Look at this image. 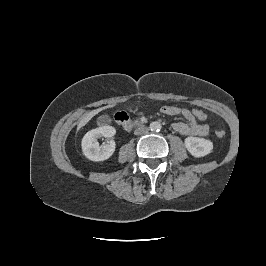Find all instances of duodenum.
I'll return each instance as SVG.
<instances>
[{"mask_svg": "<svg viewBox=\"0 0 266 266\" xmlns=\"http://www.w3.org/2000/svg\"><path fill=\"white\" fill-rule=\"evenodd\" d=\"M117 123L125 130V131H131L132 129L140 126V123L138 121L130 120L129 118L125 116H117Z\"/></svg>", "mask_w": 266, "mask_h": 266, "instance_id": "duodenum-1", "label": "duodenum"}]
</instances>
